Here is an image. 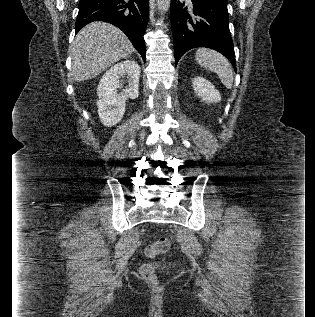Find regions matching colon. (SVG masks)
Instances as JSON below:
<instances>
[{
	"label": "colon",
	"mask_w": 315,
	"mask_h": 317,
	"mask_svg": "<svg viewBox=\"0 0 315 317\" xmlns=\"http://www.w3.org/2000/svg\"><path fill=\"white\" fill-rule=\"evenodd\" d=\"M169 247L170 242L167 238H159L157 241L147 247L146 253L150 257H156L166 253L169 250ZM158 266L159 263L157 262L144 264L141 268L142 276L149 281H155Z\"/></svg>",
	"instance_id": "5ec220e1"
}]
</instances>
